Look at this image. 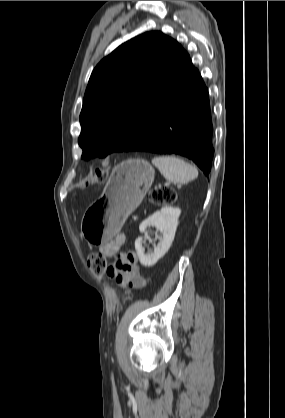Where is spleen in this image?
Segmentation results:
<instances>
[{
	"label": "spleen",
	"mask_w": 285,
	"mask_h": 418,
	"mask_svg": "<svg viewBox=\"0 0 285 418\" xmlns=\"http://www.w3.org/2000/svg\"><path fill=\"white\" fill-rule=\"evenodd\" d=\"M152 163L171 182L186 184L198 177L195 166L175 156H158L152 159Z\"/></svg>",
	"instance_id": "1"
}]
</instances>
